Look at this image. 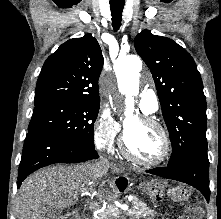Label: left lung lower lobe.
<instances>
[{
  "mask_svg": "<svg viewBox=\"0 0 221 219\" xmlns=\"http://www.w3.org/2000/svg\"><path fill=\"white\" fill-rule=\"evenodd\" d=\"M156 176L174 179L198 189L209 202V160L207 150H196L187 154L178 164L148 170Z\"/></svg>",
  "mask_w": 221,
  "mask_h": 219,
  "instance_id": "obj_1",
  "label": "left lung lower lobe"
}]
</instances>
